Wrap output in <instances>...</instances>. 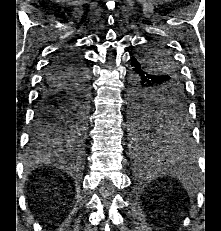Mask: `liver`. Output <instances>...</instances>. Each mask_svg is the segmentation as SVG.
<instances>
[{"mask_svg": "<svg viewBox=\"0 0 221 231\" xmlns=\"http://www.w3.org/2000/svg\"><path fill=\"white\" fill-rule=\"evenodd\" d=\"M49 156H42V157H40V158H38V159H47Z\"/></svg>", "mask_w": 221, "mask_h": 231, "instance_id": "obj_1", "label": "liver"}]
</instances>
